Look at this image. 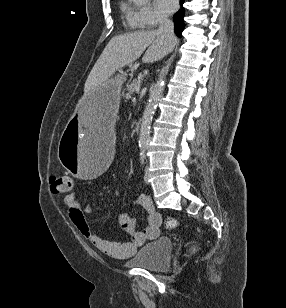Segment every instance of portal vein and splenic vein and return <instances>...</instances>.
<instances>
[{"instance_id":"18ae733b","label":"portal vein and splenic vein","mask_w":286,"mask_h":308,"mask_svg":"<svg viewBox=\"0 0 286 308\" xmlns=\"http://www.w3.org/2000/svg\"><path fill=\"white\" fill-rule=\"evenodd\" d=\"M139 91H140V86H137L136 89H135V92L138 93Z\"/></svg>"}]
</instances>
